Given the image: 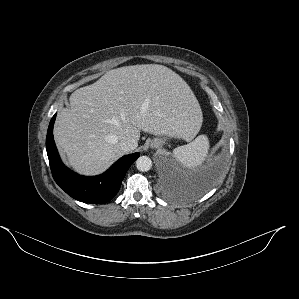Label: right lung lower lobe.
<instances>
[{
    "instance_id": "1",
    "label": "right lung lower lobe",
    "mask_w": 299,
    "mask_h": 299,
    "mask_svg": "<svg viewBox=\"0 0 299 299\" xmlns=\"http://www.w3.org/2000/svg\"><path fill=\"white\" fill-rule=\"evenodd\" d=\"M56 114L52 117L46 137V150L51 172L55 182L74 199L92 204L110 201L120 189L122 180L139 153L123 156L105 173L95 177H85L68 169L61 161L53 138V125Z\"/></svg>"
}]
</instances>
